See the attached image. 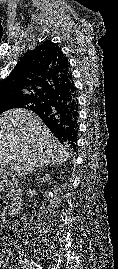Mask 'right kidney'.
Listing matches in <instances>:
<instances>
[{
	"instance_id": "right-kidney-1",
	"label": "right kidney",
	"mask_w": 118,
	"mask_h": 269,
	"mask_svg": "<svg viewBox=\"0 0 118 269\" xmlns=\"http://www.w3.org/2000/svg\"><path fill=\"white\" fill-rule=\"evenodd\" d=\"M49 179H50V175H49V174H46V175L44 176V178L42 179V181L46 182V181H48Z\"/></svg>"
}]
</instances>
